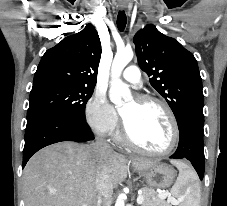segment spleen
Instances as JSON below:
<instances>
[{
	"label": "spleen",
	"instance_id": "3e777b00",
	"mask_svg": "<svg viewBox=\"0 0 227 206\" xmlns=\"http://www.w3.org/2000/svg\"><path fill=\"white\" fill-rule=\"evenodd\" d=\"M172 163L179 170V176L171 190L173 197L181 202L180 206H199L200 188L196 183V174L184 163L178 161Z\"/></svg>",
	"mask_w": 227,
	"mask_h": 206
}]
</instances>
